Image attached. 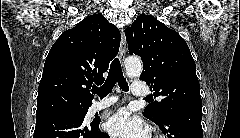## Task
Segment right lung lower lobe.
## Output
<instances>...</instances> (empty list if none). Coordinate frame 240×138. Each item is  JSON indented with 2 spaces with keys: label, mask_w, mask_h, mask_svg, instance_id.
Returning a JSON list of instances; mask_svg holds the SVG:
<instances>
[{
  "label": "right lung lower lobe",
  "mask_w": 240,
  "mask_h": 138,
  "mask_svg": "<svg viewBox=\"0 0 240 138\" xmlns=\"http://www.w3.org/2000/svg\"><path fill=\"white\" fill-rule=\"evenodd\" d=\"M84 117L69 111L36 119L33 138H109L99 129L100 120L86 125Z\"/></svg>",
  "instance_id": "98d812e1"
}]
</instances>
